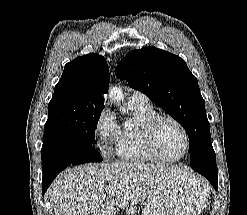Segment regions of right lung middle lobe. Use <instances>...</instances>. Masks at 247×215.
I'll return each instance as SVG.
<instances>
[{
	"label": "right lung middle lobe",
	"mask_w": 247,
	"mask_h": 215,
	"mask_svg": "<svg viewBox=\"0 0 247 215\" xmlns=\"http://www.w3.org/2000/svg\"><path fill=\"white\" fill-rule=\"evenodd\" d=\"M104 103L82 99L69 90L54 92L44 126L43 148L60 139L95 144V128Z\"/></svg>",
	"instance_id": "1"
}]
</instances>
